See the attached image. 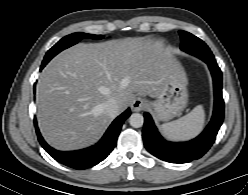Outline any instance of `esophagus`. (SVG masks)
<instances>
[{"mask_svg": "<svg viewBox=\"0 0 248 195\" xmlns=\"http://www.w3.org/2000/svg\"><path fill=\"white\" fill-rule=\"evenodd\" d=\"M146 106H147V101L140 97L134 98L131 104V108L135 112H139L143 110Z\"/></svg>", "mask_w": 248, "mask_h": 195, "instance_id": "1", "label": "esophagus"}]
</instances>
